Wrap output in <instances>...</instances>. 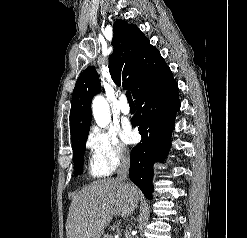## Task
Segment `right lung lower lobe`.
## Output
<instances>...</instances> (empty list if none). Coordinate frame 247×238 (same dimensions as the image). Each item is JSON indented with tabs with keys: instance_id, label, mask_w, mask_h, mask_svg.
I'll return each instance as SVG.
<instances>
[{
	"instance_id": "obj_1",
	"label": "right lung lower lobe",
	"mask_w": 247,
	"mask_h": 238,
	"mask_svg": "<svg viewBox=\"0 0 247 238\" xmlns=\"http://www.w3.org/2000/svg\"><path fill=\"white\" fill-rule=\"evenodd\" d=\"M135 102L137 114L132 124L139 127L142 140L131 150L129 177L150 199L153 164L167 157L175 114L180 110L178 84L170 68L141 92Z\"/></svg>"
}]
</instances>
